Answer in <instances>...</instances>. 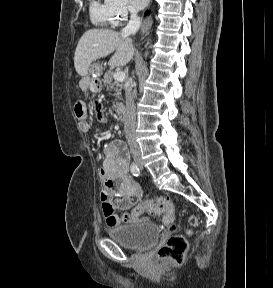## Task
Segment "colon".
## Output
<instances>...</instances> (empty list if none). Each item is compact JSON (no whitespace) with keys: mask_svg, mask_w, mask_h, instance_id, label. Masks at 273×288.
I'll return each instance as SVG.
<instances>
[{"mask_svg":"<svg viewBox=\"0 0 273 288\" xmlns=\"http://www.w3.org/2000/svg\"><path fill=\"white\" fill-rule=\"evenodd\" d=\"M94 110L100 113L102 111V106L100 103L94 105ZM76 111L82 116V106L77 105ZM142 206L146 212L160 216L161 221L168 226H175V208L168 197H159L157 199H146L142 201ZM190 224L192 226L196 225L197 220L194 216H191ZM188 249V242L184 235L176 234L168 238L166 243L161 246L158 250V258L161 260H171L177 265H180L186 255Z\"/></svg>","mask_w":273,"mask_h":288,"instance_id":"colon-1","label":"colon"}]
</instances>
